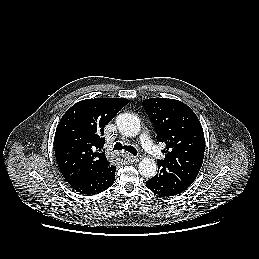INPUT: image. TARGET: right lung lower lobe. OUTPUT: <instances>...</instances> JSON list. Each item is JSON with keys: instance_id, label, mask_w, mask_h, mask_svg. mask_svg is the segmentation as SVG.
<instances>
[{"instance_id": "right-lung-lower-lobe-1", "label": "right lung lower lobe", "mask_w": 259, "mask_h": 259, "mask_svg": "<svg viewBox=\"0 0 259 259\" xmlns=\"http://www.w3.org/2000/svg\"><path fill=\"white\" fill-rule=\"evenodd\" d=\"M115 171L116 167L109 165L69 184L81 194H98L112 186L115 179Z\"/></svg>"}]
</instances>
